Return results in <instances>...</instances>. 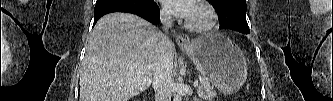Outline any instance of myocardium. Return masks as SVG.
Masks as SVG:
<instances>
[{
    "label": "myocardium",
    "instance_id": "obj_1",
    "mask_svg": "<svg viewBox=\"0 0 333 101\" xmlns=\"http://www.w3.org/2000/svg\"><path fill=\"white\" fill-rule=\"evenodd\" d=\"M195 6L203 9L207 14V21L203 24H196L191 22L188 18L185 19V26L187 29L197 33H205L214 29L218 22V15L215 9L206 1H197Z\"/></svg>",
    "mask_w": 333,
    "mask_h": 101
}]
</instances>
